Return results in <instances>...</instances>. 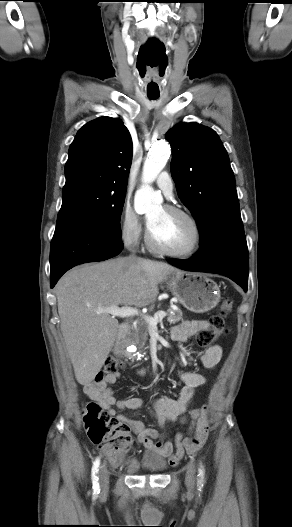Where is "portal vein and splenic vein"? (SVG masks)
<instances>
[{
	"instance_id": "portal-vein-and-splenic-vein-1",
	"label": "portal vein and splenic vein",
	"mask_w": 292,
	"mask_h": 527,
	"mask_svg": "<svg viewBox=\"0 0 292 527\" xmlns=\"http://www.w3.org/2000/svg\"><path fill=\"white\" fill-rule=\"evenodd\" d=\"M97 313H109L114 317H134L139 314V310L132 307H118V305L111 306L106 309H99ZM167 314L164 311L157 312L153 317L149 315H143V319L146 321L148 326L157 325Z\"/></svg>"
}]
</instances>
